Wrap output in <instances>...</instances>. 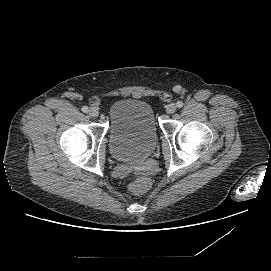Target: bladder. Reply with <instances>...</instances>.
Returning <instances> with one entry per match:
<instances>
[{
  "instance_id": "31cf9c89",
  "label": "bladder",
  "mask_w": 271,
  "mask_h": 271,
  "mask_svg": "<svg viewBox=\"0 0 271 271\" xmlns=\"http://www.w3.org/2000/svg\"><path fill=\"white\" fill-rule=\"evenodd\" d=\"M109 148L114 159L135 163L147 159L157 143L152 107L141 100L123 99L109 109Z\"/></svg>"
}]
</instances>
